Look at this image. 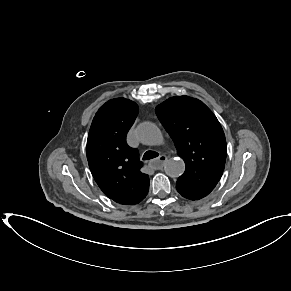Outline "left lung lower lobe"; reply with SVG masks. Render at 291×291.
I'll use <instances>...</instances> for the list:
<instances>
[{
    "label": "left lung lower lobe",
    "mask_w": 291,
    "mask_h": 291,
    "mask_svg": "<svg viewBox=\"0 0 291 291\" xmlns=\"http://www.w3.org/2000/svg\"><path fill=\"white\" fill-rule=\"evenodd\" d=\"M185 198L190 199V198H188V197H185ZM190 200H195V199H190Z\"/></svg>",
    "instance_id": "left-lung-lower-lobe-1"
}]
</instances>
